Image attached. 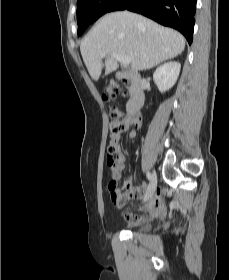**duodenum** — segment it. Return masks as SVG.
Here are the masks:
<instances>
[{
	"mask_svg": "<svg viewBox=\"0 0 229 280\" xmlns=\"http://www.w3.org/2000/svg\"><path fill=\"white\" fill-rule=\"evenodd\" d=\"M118 79H129L132 83L131 96L127 103V111L132 121L139 122L137 113L145 102L144 87L140 75L136 72H117Z\"/></svg>",
	"mask_w": 229,
	"mask_h": 280,
	"instance_id": "obj_1",
	"label": "duodenum"
}]
</instances>
